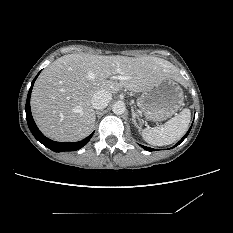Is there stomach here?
Segmentation results:
<instances>
[{
  "label": "stomach",
  "mask_w": 233,
  "mask_h": 233,
  "mask_svg": "<svg viewBox=\"0 0 233 233\" xmlns=\"http://www.w3.org/2000/svg\"><path fill=\"white\" fill-rule=\"evenodd\" d=\"M183 90L174 79H167L143 91L137 105L150 121H163L174 115L183 104Z\"/></svg>",
  "instance_id": "1"
}]
</instances>
